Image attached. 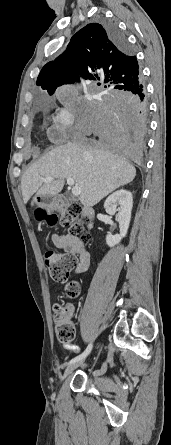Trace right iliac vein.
<instances>
[{"instance_id": "right-iliac-vein-1", "label": "right iliac vein", "mask_w": 171, "mask_h": 445, "mask_svg": "<svg viewBox=\"0 0 171 445\" xmlns=\"http://www.w3.org/2000/svg\"><path fill=\"white\" fill-rule=\"evenodd\" d=\"M85 358L78 360L76 362L71 363L64 371L63 375L60 377V381L62 382L69 374H71L76 368L81 366L84 362Z\"/></svg>"}]
</instances>
